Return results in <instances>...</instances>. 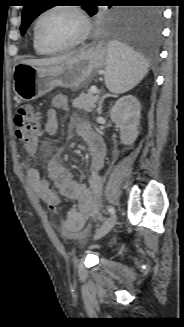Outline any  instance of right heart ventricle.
<instances>
[{"instance_id":"e07e8e85","label":"right heart ventricle","mask_w":184,"mask_h":327,"mask_svg":"<svg viewBox=\"0 0 184 327\" xmlns=\"http://www.w3.org/2000/svg\"><path fill=\"white\" fill-rule=\"evenodd\" d=\"M32 43H33V48H34V50H35V52H36L37 54H39V55H49V54H51V52H48V51L44 50L43 48H41V47L37 44V42L35 41L34 36H33V39H32Z\"/></svg>"}]
</instances>
